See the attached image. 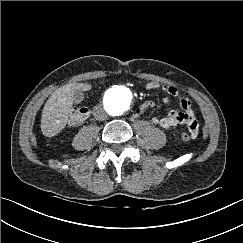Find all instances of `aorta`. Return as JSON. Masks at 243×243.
<instances>
[{
	"mask_svg": "<svg viewBox=\"0 0 243 243\" xmlns=\"http://www.w3.org/2000/svg\"><path fill=\"white\" fill-rule=\"evenodd\" d=\"M107 100L109 103H114L117 100V95L115 94V89H111L107 93Z\"/></svg>",
	"mask_w": 243,
	"mask_h": 243,
	"instance_id": "obj_1",
	"label": "aorta"
}]
</instances>
